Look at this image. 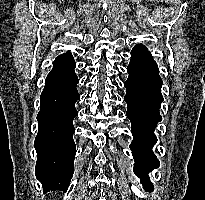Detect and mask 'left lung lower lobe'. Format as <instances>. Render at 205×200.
I'll use <instances>...</instances> for the list:
<instances>
[{"label":"left lung lower lobe","instance_id":"1","mask_svg":"<svg viewBox=\"0 0 205 200\" xmlns=\"http://www.w3.org/2000/svg\"><path fill=\"white\" fill-rule=\"evenodd\" d=\"M131 60L127 67L129 73L124 101L127 103V117L131 121L133 143L130 148L135 159V174L144 185L152 186L147 173L159 166L152 152L157 139L155 127L162 120L159 108L163 97L162 80L158 67L148 49L138 44L131 51Z\"/></svg>","mask_w":205,"mask_h":200}]
</instances>
